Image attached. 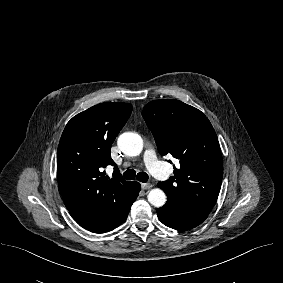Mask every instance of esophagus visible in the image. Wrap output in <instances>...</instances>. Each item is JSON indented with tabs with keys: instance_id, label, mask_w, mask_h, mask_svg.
Listing matches in <instances>:
<instances>
[{
	"instance_id": "obj_1",
	"label": "esophagus",
	"mask_w": 283,
	"mask_h": 283,
	"mask_svg": "<svg viewBox=\"0 0 283 283\" xmlns=\"http://www.w3.org/2000/svg\"><path fill=\"white\" fill-rule=\"evenodd\" d=\"M141 187H142L143 190H147V189H151L153 187V185L150 184V183H142Z\"/></svg>"
}]
</instances>
